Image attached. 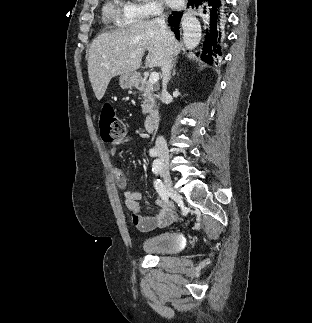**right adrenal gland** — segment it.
<instances>
[{
	"label": "right adrenal gland",
	"mask_w": 312,
	"mask_h": 323,
	"mask_svg": "<svg viewBox=\"0 0 312 323\" xmlns=\"http://www.w3.org/2000/svg\"><path fill=\"white\" fill-rule=\"evenodd\" d=\"M176 60H177V58H175V60H174V62H173V64H172V66H173L174 70H173V72H172V74H171V76H170V80H171L172 76H175V74H176V70H175Z\"/></svg>",
	"instance_id": "1"
}]
</instances>
